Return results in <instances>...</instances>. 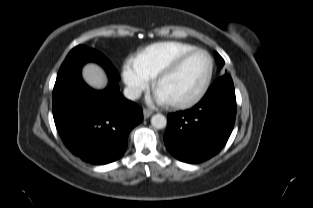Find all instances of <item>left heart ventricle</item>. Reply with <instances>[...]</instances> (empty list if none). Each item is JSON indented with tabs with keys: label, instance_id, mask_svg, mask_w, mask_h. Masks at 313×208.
Returning <instances> with one entry per match:
<instances>
[{
	"label": "left heart ventricle",
	"instance_id": "b2bd125f",
	"mask_svg": "<svg viewBox=\"0 0 313 208\" xmlns=\"http://www.w3.org/2000/svg\"><path fill=\"white\" fill-rule=\"evenodd\" d=\"M208 69L209 62L204 54L192 55L175 74L162 82L157 90L158 96L166 102L193 97L203 85Z\"/></svg>",
	"mask_w": 313,
	"mask_h": 208
}]
</instances>
